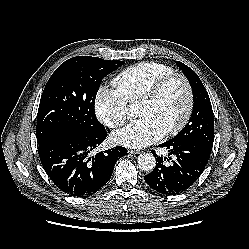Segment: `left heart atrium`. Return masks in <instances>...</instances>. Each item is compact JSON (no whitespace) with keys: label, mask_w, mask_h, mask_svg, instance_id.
Instances as JSON below:
<instances>
[{"label":"left heart atrium","mask_w":249,"mask_h":249,"mask_svg":"<svg viewBox=\"0 0 249 249\" xmlns=\"http://www.w3.org/2000/svg\"><path fill=\"white\" fill-rule=\"evenodd\" d=\"M164 133L154 118L143 116L116 131L112 138L119 145L140 149L158 141Z\"/></svg>","instance_id":"39dd6f15"}]
</instances>
